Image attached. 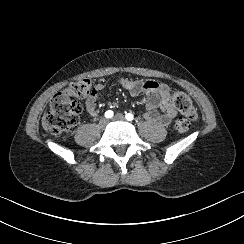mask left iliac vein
Listing matches in <instances>:
<instances>
[{
	"instance_id": "4c4485c4",
	"label": "left iliac vein",
	"mask_w": 244,
	"mask_h": 244,
	"mask_svg": "<svg viewBox=\"0 0 244 244\" xmlns=\"http://www.w3.org/2000/svg\"><path fill=\"white\" fill-rule=\"evenodd\" d=\"M113 120H115V121H124L125 118H124V116L122 114H116L114 116Z\"/></svg>"
}]
</instances>
